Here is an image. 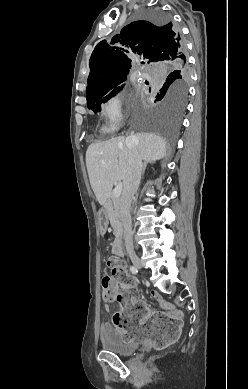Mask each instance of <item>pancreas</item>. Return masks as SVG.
Instances as JSON below:
<instances>
[{
  "label": "pancreas",
  "mask_w": 248,
  "mask_h": 389,
  "mask_svg": "<svg viewBox=\"0 0 248 389\" xmlns=\"http://www.w3.org/2000/svg\"><path fill=\"white\" fill-rule=\"evenodd\" d=\"M104 213L106 219L110 221L116 239L122 235V223L119 212V198H115L113 193L109 196L104 204Z\"/></svg>",
  "instance_id": "pancreas-1"
}]
</instances>
